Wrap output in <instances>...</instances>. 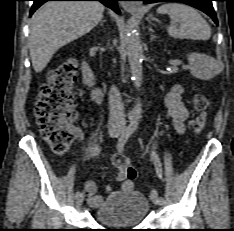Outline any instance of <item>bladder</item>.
<instances>
[{
	"label": "bladder",
	"mask_w": 234,
	"mask_h": 231,
	"mask_svg": "<svg viewBox=\"0 0 234 231\" xmlns=\"http://www.w3.org/2000/svg\"><path fill=\"white\" fill-rule=\"evenodd\" d=\"M149 213L147 197L138 191L109 195L95 210V220L113 226L140 224Z\"/></svg>",
	"instance_id": "bladder-1"
}]
</instances>
